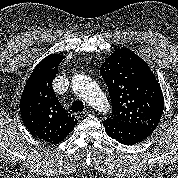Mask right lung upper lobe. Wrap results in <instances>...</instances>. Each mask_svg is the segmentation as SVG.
<instances>
[{
	"instance_id": "cb5924a9",
	"label": "right lung upper lobe",
	"mask_w": 178,
	"mask_h": 178,
	"mask_svg": "<svg viewBox=\"0 0 178 178\" xmlns=\"http://www.w3.org/2000/svg\"><path fill=\"white\" fill-rule=\"evenodd\" d=\"M63 55L51 54L33 70L20 100V115L28 131L36 138L57 144L73 130L77 119L58 101L52 82Z\"/></svg>"
}]
</instances>
